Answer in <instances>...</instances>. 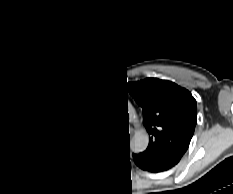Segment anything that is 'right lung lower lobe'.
Here are the masks:
<instances>
[{
    "mask_svg": "<svg viewBox=\"0 0 233 194\" xmlns=\"http://www.w3.org/2000/svg\"><path fill=\"white\" fill-rule=\"evenodd\" d=\"M100 155H101V152H100V153L98 154V156H97L91 163H89V164H94V163H96V162L98 161ZM60 156H61V155H60Z\"/></svg>",
    "mask_w": 233,
    "mask_h": 194,
    "instance_id": "1",
    "label": "right lung lower lobe"
}]
</instances>
